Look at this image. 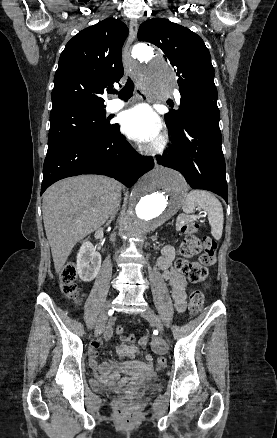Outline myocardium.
Instances as JSON below:
<instances>
[{
	"label": "myocardium",
	"mask_w": 277,
	"mask_h": 438,
	"mask_svg": "<svg viewBox=\"0 0 277 438\" xmlns=\"http://www.w3.org/2000/svg\"><path fill=\"white\" fill-rule=\"evenodd\" d=\"M129 50H131V47L129 48ZM165 146H166V139L163 137L156 143L152 151L155 153H159L164 149Z\"/></svg>",
	"instance_id": "f54148a6"
}]
</instances>
